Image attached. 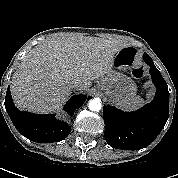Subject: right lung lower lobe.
<instances>
[{
    "label": "right lung lower lobe",
    "mask_w": 178,
    "mask_h": 178,
    "mask_svg": "<svg viewBox=\"0 0 178 178\" xmlns=\"http://www.w3.org/2000/svg\"><path fill=\"white\" fill-rule=\"evenodd\" d=\"M87 99L85 95H75L66 103L65 111L72 115ZM91 97H88V100ZM6 111L16 127L24 137L37 143L59 142L65 139L71 127L63 121L55 119L53 115H37L19 111L13 104L10 88L5 97Z\"/></svg>",
    "instance_id": "98d812e1"
}]
</instances>
